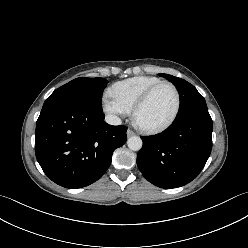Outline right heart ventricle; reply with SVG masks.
I'll use <instances>...</instances> for the list:
<instances>
[{"label":"right heart ventricle","instance_id":"e07e8e85","mask_svg":"<svg viewBox=\"0 0 248 248\" xmlns=\"http://www.w3.org/2000/svg\"><path fill=\"white\" fill-rule=\"evenodd\" d=\"M159 81H161L159 78L153 76H135L113 84L111 94L131 110L142 94Z\"/></svg>","mask_w":248,"mask_h":248}]
</instances>
